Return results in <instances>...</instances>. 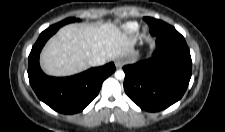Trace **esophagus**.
Masks as SVG:
<instances>
[{
    "label": "esophagus",
    "mask_w": 225,
    "mask_h": 132,
    "mask_svg": "<svg viewBox=\"0 0 225 132\" xmlns=\"http://www.w3.org/2000/svg\"><path fill=\"white\" fill-rule=\"evenodd\" d=\"M122 65H123V60H122V58H117V59L115 60V66H116L117 68H120V67H122Z\"/></svg>",
    "instance_id": "1"
}]
</instances>
